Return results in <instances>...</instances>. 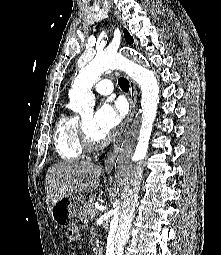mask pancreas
I'll return each instance as SVG.
<instances>
[{
  "instance_id": "pancreas-1",
  "label": "pancreas",
  "mask_w": 221,
  "mask_h": 255,
  "mask_svg": "<svg viewBox=\"0 0 221 255\" xmlns=\"http://www.w3.org/2000/svg\"><path fill=\"white\" fill-rule=\"evenodd\" d=\"M95 200H96L95 196H90L88 200L85 202L84 211L82 214V221L84 223H88L94 217L92 216V212L95 209L94 208Z\"/></svg>"
}]
</instances>
